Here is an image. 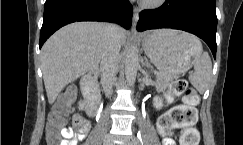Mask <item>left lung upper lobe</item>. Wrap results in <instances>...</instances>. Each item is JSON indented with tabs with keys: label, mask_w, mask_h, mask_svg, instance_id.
Listing matches in <instances>:
<instances>
[{
	"label": "left lung upper lobe",
	"mask_w": 243,
	"mask_h": 145,
	"mask_svg": "<svg viewBox=\"0 0 243 145\" xmlns=\"http://www.w3.org/2000/svg\"><path fill=\"white\" fill-rule=\"evenodd\" d=\"M196 2L197 4H205L208 6H215L216 0H191Z\"/></svg>",
	"instance_id": "1"
}]
</instances>
